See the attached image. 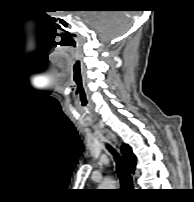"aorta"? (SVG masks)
I'll use <instances>...</instances> for the list:
<instances>
[{"label":"aorta","mask_w":194,"mask_h":202,"mask_svg":"<svg viewBox=\"0 0 194 202\" xmlns=\"http://www.w3.org/2000/svg\"><path fill=\"white\" fill-rule=\"evenodd\" d=\"M112 186V182L109 179H106L101 185L100 189H108Z\"/></svg>","instance_id":"762f6f07"}]
</instances>
